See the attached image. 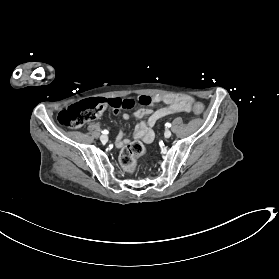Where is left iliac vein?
Listing matches in <instances>:
<instances>
[{
	"instance_id": "obj_1",
	"label": "left iliac vein",
	"mask_w": 279,
	"mask_h": 279,
	"mask_svg": "<svg viewBox=\"0 0 279 279\" xmlns=\"http://www.w3.org/2000/svg\"><path fill=\"white\" fill-rule=\"evenodd\" d=\"M171 135H172V133H171V131L170 130H165V132H164V136H165V138H169V137H171Z\"/></svg>"
}]
</instances>
